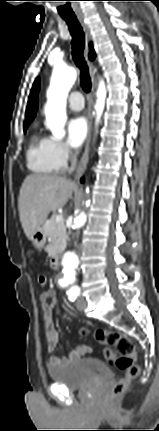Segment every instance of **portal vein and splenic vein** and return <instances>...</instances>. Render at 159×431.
<instances>
[{
  "label": "portal vein and splenic vein",
  "instance_id": "18ae733b",
  "mask_svg": "<svg viewBox=\"0 0 159 431\" xmlns=\"http://www.w3.org/2000/svg\"><path fill=\"white\" fill-rule=\"evenodd\" d=\"M55 220H56V222H57V223H60L61 221H63V217H62V215H57V216L55 217Z\"/></svg>",
  "mask_w": 159,
  "mask_h": 431
}]
</instances>
